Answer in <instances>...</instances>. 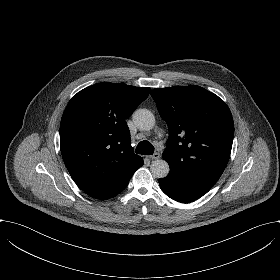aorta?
Here are the masks:
<instances>
[{
  "label": "aorta",
  "mask_w": 280,
  "mask_h": 280,
  "mask_svg": "<svg viewBox=\"0 0 280 280\" xmlns=\"http://www.w3.org/2000/svg\"><path fill=\"white\" fill-rule=\"evenodd\" d=\"M134 122L143 131H150L155 126V116L148 109H138L133 114ZM170 171L169 164L163 159L155 160L151 165V172L157 178H165Z\"/></svg>",
  "instance_id": "1"
}]
</instances>
